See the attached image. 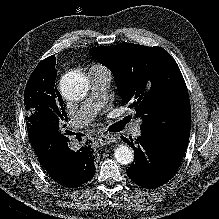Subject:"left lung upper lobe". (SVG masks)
Listing matches in <instances>:
<instances>
[{"label": "left lung upper lobe", "mask_w": 219, "mask_h": 219, "mask_svg": "<svg viewBox=\"0 0 219 219\" xmlns=\"http://www.w3.org/2000/svg\"><path fill=\"white\" fill-rule=\"evenodd\" d=\"M89 53L112 70L120 97L142 119V131L175 140L189 139L191 107L187 87L166 50L120 43L94 47Z\"/></svg>", "instance_id": "5c2ea615"}]
</instances>
